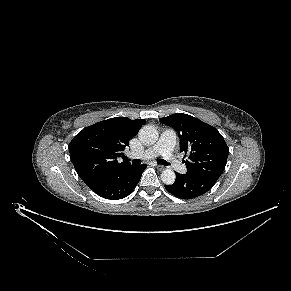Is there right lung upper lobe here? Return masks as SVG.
I'll return each mask as SVG.
<instances>
[{
  "mask_svg": "<svg viewBox=\"0 0 291 291\" xmlns=\"http://www.w3.org/2000/svg\"><path fill=\"white\" fill-rule=\"evenodd\" d=\"M145 123L144 119L131 120L114 117L88 126L70 142V159L79 177L86 183L107 173L131 167L129 162H118L124 150Z\"/></svg>",
  "mask_w": 291,
  "mask_h": 291,
  "instance_id": "1",
  "label": "right lung upper lobe"
}]
</instances>
